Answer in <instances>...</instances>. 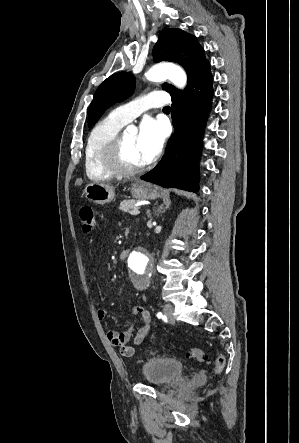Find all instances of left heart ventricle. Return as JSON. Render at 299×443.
I'll return each mask as SVG.
<instances>
[{"label": "left heart ventricle", "instance_id": "left-heart-ventricle-1", "mask_svg": "<svg viewBox=\"0 0 299 443\" xmlns=\"http://www.w3.org/2000/svg\"><path fill=\"white\" fill-rule=\"evenodd\" d=\"M137 138V133H125L123 135V160L125 164L131 167L144 164L138 149Z\"/></svg>", "mask_w": 299, "mask_h": 443}]
</instances>
